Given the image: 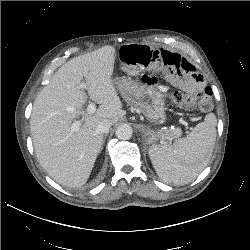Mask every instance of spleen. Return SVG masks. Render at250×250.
Listing matches in <instances>:
<instances>
[{"label":"spleen","mask_w":250,"mask_h":250,"mask_svg":"<svg viewBox=\"0 0 250 250\" xmlns=\"http://www.w3.org/2000/svg\"><path fill=\"white\" fill-rule=\"evenodd\" d=\"M216 124V116L209 113L191 133L172 145H151L149 156L157 175L164 182L175 185L194 180L204 170L213 153Z\"/></svg>","instance_id":"3e777b00"}]
</instances>
